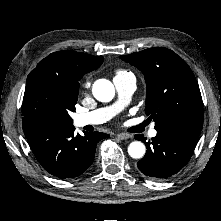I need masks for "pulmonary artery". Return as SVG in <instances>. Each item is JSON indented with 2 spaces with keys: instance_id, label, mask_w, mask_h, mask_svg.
Masks as SVG:
<instances>
[{
  "instance_id": "obj_1",
  "label": "pulmonary artery",
  "mask_w": 221,
  "mask_h": 221,
  "mask_svg": "<svg viewBox=\"0 0 221 221\" xmlns=\"http://www.w3.org/2000/svg\"><path fill=\"white\" fill-rule=\"evenodd\" d=\"M114 84L119 94L120 100L114 105L97 109L91 112L78 114L74 118V123L78 127L86 125H97L109 120L115 113L121 110L136 88V80L132 74L124 77L114 78ZM157 131L154 127L149 130V136L155 137Z\"/></svg>"
}]
</instances>
